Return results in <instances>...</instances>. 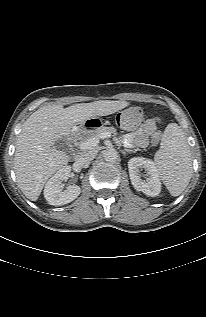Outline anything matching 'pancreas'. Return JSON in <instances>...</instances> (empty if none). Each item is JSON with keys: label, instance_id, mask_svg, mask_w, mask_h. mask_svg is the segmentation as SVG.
Segmentation results:
<instances>
[{"label": "pancreas", "instance_id": "cf45deb5", "mask_svg": "<svg viewBox=\"0 0 206 317\" xmlns=\"http://www.w3.org/2000/svg\"><path fill=\"white\" fill-rule=\"evenodd\" d=\"M109 135H116L117 131L114 127H98L97 129H91L88 132L82 131L81 137L82 140L85 141L87 139L94 140V141H100L102 139V136ZM81 142H78L77 144H81Z\"/></svg>", "mask_w": 206, "mask_h": 317}]
</instances>
